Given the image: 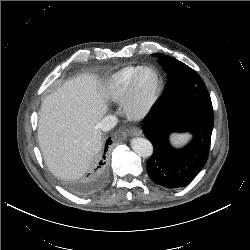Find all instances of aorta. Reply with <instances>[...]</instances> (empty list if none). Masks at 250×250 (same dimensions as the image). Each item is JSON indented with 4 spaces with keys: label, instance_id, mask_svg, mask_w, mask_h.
Segmentation results:
<instances>
[{
    "label": "aorta",
    "instance_id": "1",
    "mask_svg": "<svg viewBox=\"0 0 250 250\" xmlns=\"http://www.w3.org/2000/svg\"><path fill=\"white\" fill-rule=\"evenodd\" d=\"M131 147L140 157L147 158L153 153L151 142L142 137H136L131 140Z\"/></svg>",
    "mask_w": 250,
    "mask_h": 250
}]
</instances>
